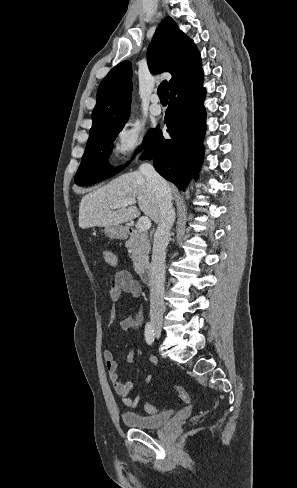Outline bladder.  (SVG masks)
Returning <instances> with one entry per match:
<instances>
[{"label":"bladder","instance_id":"1","mask_svg":"<svg viewBox=\"0 0 297 488\" xmlns=\"http://www.w3.org/2000/svg\"><path fill=\"white\" fill-rule=\"evenodd\" d=\"M174 412L167 410L153 415H142L136 412H123L121 415L125 426L141 430H155L166 425L173 417Z\"/></svg>","mask_w":297,"mask_h":488}]
</instances>
